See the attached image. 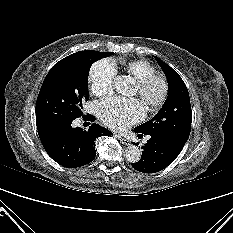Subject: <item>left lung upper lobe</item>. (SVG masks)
I'll list each match as a JSON object with an SVG mask.
<instances>
[{"label": "left lung upper lobe", "mask_w": 233, "mask_h": 233, "mask_svg": "<svg viewBox=\"0 0 233 233\" xmlns=\"http://www.w3.org/2000/svg\"><path fill=\"white\" fill-rule=\"evenodd\" d=\"M155 59L168 80V97L160 111L134 131L146 135H161L183 148L191 130L192 111L189 93L179 74L158 57Z\"/></svg>", "instance_id": "left-lung-upper-lobe-1"}]
</instances>
